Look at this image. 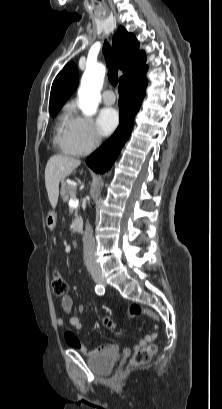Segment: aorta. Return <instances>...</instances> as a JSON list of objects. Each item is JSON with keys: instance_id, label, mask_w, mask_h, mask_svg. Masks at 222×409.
I'll use <instances>...</instances> for the list:
<instances>
[{"instance_id": "762f6f07", "label": "aorta", "mask_w": 222, "mask_h": 409, "mask_svg": "<svg viewBox=\"0 0 222 409\" xmlns=\"http://www.w3.org/2000/svg\"><path fill=\"white\" fill-rule=\"evenodd\" d=\"M105 67L102 64L87 66L78 91L79 108L86 116L94 115L101 100Z\"/></svg>"}]
</instances>
